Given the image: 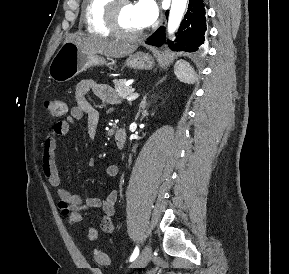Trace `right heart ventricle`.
I'll use <instances>...</instances> for the list:
<instances>
[{
	"label": "right heart ventricle",
	"instance_id": "right-heart-ventricle-1",
	"mask_svg": "<svg viewBox=\"0 0 289 274\" xmlns=\"http://www.w3.org/2000/svg\"><path fill=\"white\" fill-rule=\"evenodd\" d=\"M111 0H84L83 22L89 33L109 37L112 33L105 23V10Z\"/></svg>",
	"mask_w": 289,
	"mask_h": 274
}]
</instances>
